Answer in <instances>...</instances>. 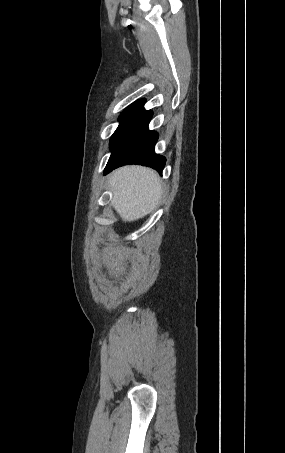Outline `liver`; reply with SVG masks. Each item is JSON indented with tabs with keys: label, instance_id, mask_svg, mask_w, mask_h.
Listing matches in <instances>:
<instances>
[{
	"label": "liver",
	"instance_id": "obj_1",
	"mask_svg": "<svg viewBox=\"0 0 285 453\" xmlns=\"http://www.w3.org/2000/svg\"><path fill=\"white\" fill-rule=\"evenodd\" d=\"M113 190L111 205L123 221H135L157 206L161 194L158 174L142 166H124L109 177Z\"/></svg>",
	"mask_w": 285,
	"mask_h": 453
}]
</instances>
